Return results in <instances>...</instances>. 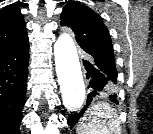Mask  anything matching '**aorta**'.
Returning a JSON list of instances; mask_svg holds the SVG:
<instances>
[{
	"label": "aorta",
	"instance_id": "1",
	"mask_svg": "<svg viewBox=\"0 0 153 134\" xmlns=\"http://www.w3.org/2000/svg\"><path fill=\"white\" fill-rule=\"evenodd\" d=\"M54 56L63 104L67 110L77 111L85 101L86 89L77 49L69 34L59 36Z\"/></svg>",
	"mask_w": 153,
	"mask_h": 134
}]
</instances>
